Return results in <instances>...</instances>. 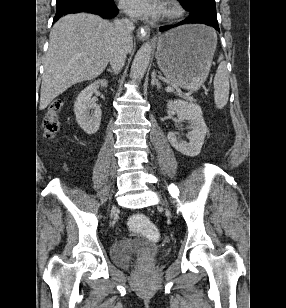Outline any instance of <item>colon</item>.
Instances as JSON below:
<instances>
[{
    "mask_svg": "<svg viewBox=\"0 0 286 308\" xmlns=\"http://www.w3.org/2000/svg\"><path fill=\"white\" fill-rule=\"evenodd\" d=\"M62 106L63 103L59 99L50 103L47 114L43 119V135L45 138H52L59 131L60 121L58 114ZM129 227L149 240L156 241L159 238L158 230L152 225L149 219L142 214L132 215L129 220Z\"/></svg>",
    "mask_w": 286,
    "mask_h": 308,
    "instance_id": "1",
    "label": "colon"
}]
</instances>
